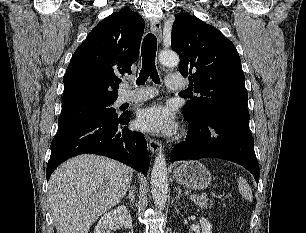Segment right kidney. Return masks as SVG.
<instances>
[{"label": "right kidney", "mask_w": 306, "mask_h": 233, "mask_svg": "<svg viewBox=\"0 0 306 233\" xmlns=\"http://www.w3.org/2000/svg\"><path fill=\"white\" fill-rule=\"evenodd\" d=\"M117 224H121L125 228L132 226L131 215L125 206H118L105 213L97 223L94 233H110L111 230L116 228Z\"/></svg>", "instance_id": "1"}]
</instances>
